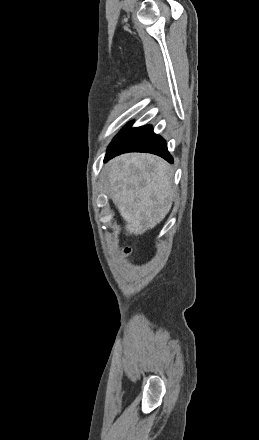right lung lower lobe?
Listing matches in <instances>:
<instances>
[{"label":"right lung lower lobe","instance_id":"obj_1","mask_svg":"<svg viewBox=\"0 0 259 440\" xmlns=\"http://www.w3.org/2000/svg\"><path fill=\"white\" fill-rule=\"evenodd\" d=\"M131 125L132 123H128L113 139L107 150L105 162L125 152H148L173 163L165 140L153 132L152 126L131 128Z\"/></svg>","mask_w":259,"mask_h":440}]
</instances>
